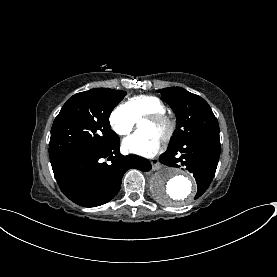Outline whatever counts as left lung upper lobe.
<instances>
[{
	"instance_id": "obj_1",
	"label": "left lung upper lobe",
	"mask_w": 277,
	"mask_h": 277,
	"mask_svg": "<svg viewBox=\"0 0 277 277\" xmlns=\"http://www.w3.org/2000/svg\"><path fill=\"white\" fill-rule=\"evenodd\" d=\"M158 92L177 116V130L169 148L195 136L219 133L217 118L203 98L181 87L164 88Z\"/></svg>"
}]
</instances>
